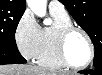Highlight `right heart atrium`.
<instances>
[{
    "label": "right heart atrium",
    "mask_w": 102,
    "mask_h": 75,
    "mask_svg": "<svg viewBox=\"0 0 102 75\" xmlns=\"http://www.w3.org/2000/svg\"><path fill=\"white\" fill-rule=\"evenodd\" d=\"M40 30L41 27L30 11H25L15 26L14 39L16 45L27 60H34L37 56Z\"/></svg>",
    "instance_id": "d8ad5b80"
}]
</instances>
